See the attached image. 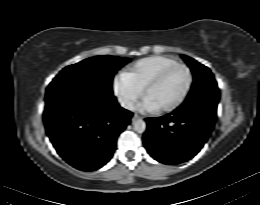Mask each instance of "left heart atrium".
Masks as SVG:
<instances>
[{
	"label": "left heart atrium",
	"mask_w": 260,
	"mask_h": 205,
	"mask_svg": "<svg viewBox=\"0 0 260 205\" xmlns=\"http://www.w3.org/2000/svg\"><path fill=\"white\" fill-rule=\"evenodd\" d=\"M157 108L158 107L147 98L137 106V110L139 111H155Z\"/></svg>",
	"instance_id": "1"
}]
</instances>
